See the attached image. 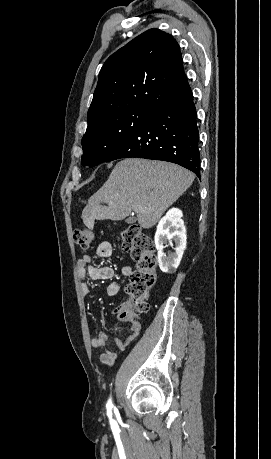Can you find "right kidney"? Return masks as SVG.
<instances>
[{
    "instance_id": "right-kidney-1",
    "label": "right kidney",
    "mask_w": 271,
    "mask_h": 459,
    "mask_svg": "<svg viewBox=\"0 0 271 459\" xmlns=\"http://www.w3.org/2000/svg\"><path fill=\"white\" fill-rule=\"evenodd\" d=\"M182 216L181 210L172 208L157 226L155 245L156 249H158V263L160 269L165 273H174L176 271L186 247V228L183 220H181ZM170 239H173L175 243V247H173L175 251L166 255L163 249L168 247V241L170 245H173Z\"/></svg>"
}]
</instances>
